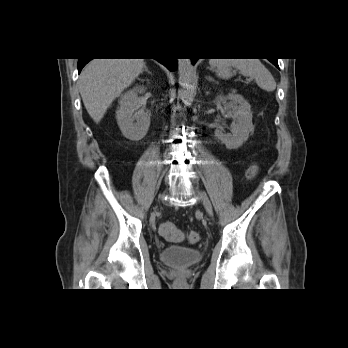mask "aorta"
Segmentation results:
<instances>
[{
  "label": "aorta",
  "instance_id": "obj_1",
  "mask_svg": "<svg viewBox=\"0 0 348 348\" xmlns=\"http://www.w3.org/2000/svg\"><path fill=\"white\" fill-rule=\"evenodd\" d=\"M179 89L178 98L188 105L194 94L195 72L190 59H178Z\"/></svg>",
  "mask_w": 348,
  "mask_h": 348
}]
</instances>
